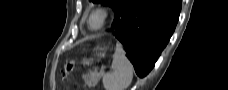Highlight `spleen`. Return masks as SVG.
Instances as JSON below:
<instances>
[{
	"instance_id": "3e777b00",
	"label": "spleen",
	"mask_w": 228,
	"mask_h": 90,
	"mask_svg": "<svg viewBox=\"0 0 228 90\" xmlns=\"http://www.w3.org/2000/svg\"><path fill=\"white\" fill-rule=\"evenodd\" d=\"M112 72L103 77L105 90H126L133 78V66L125 56L121 44H116L112 61Z\"/></svg>"
}]
</instances>
